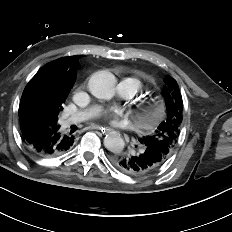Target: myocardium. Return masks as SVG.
I'll return each instance as SVG.
<instances>
[{"instance_id": "1", "label": "myocardium", "mask_w": 232, "mask_h": 232, "mask_svg": "<svg viewBox=\"0 0 232 232\" xmlns=\"http://www.w3.org/2000/svg\"><path fill=\"white\" fill-rule=\"evenodd\" d=\"M161 113V107L159 103L155 101H149L142 105L139 112V119L142 123H150L157 120Z\"/></svg>"}]
</instances>
